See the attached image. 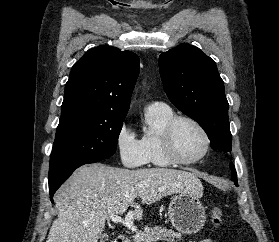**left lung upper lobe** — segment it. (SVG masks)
I'll list each match as a JSON object with an SVG mask.
<instances>
[{"mask_svg": "<svg viewBox=\"0 0 279 242\" xmlns=\"http://www.w3.org/2000/svg\"><path fill=\"white\" fill-rule=\"evenodd\" d=\"M159 69L170 101L202 126L212 149L231 152L229 104L216 63L199 48L181 45L160 55ZM230 168L232 179L238 186L232 163Z\"/></svg>", "mask_w": 279, "mask_h": 242, "instance_id": "1", "label": "left lung upper lobe"}]
</instances>
